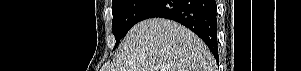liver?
<instances>
[{
  "instance_id": "liver-1",
  "label": "liver",
  "mask_w": 301,
  "mask_h": 71,
  "mask_svg": "<svg viewBox=\"0 0 301 71\" xmlns=\"http://www.w3.org/2000/svg\"><path fill=\"white\" fill-rule=\"evenodd\" d=\"M111 71H216V62L189 29L153 18L130 29L115 54Z\"/></svg>"
}]
</instances>
